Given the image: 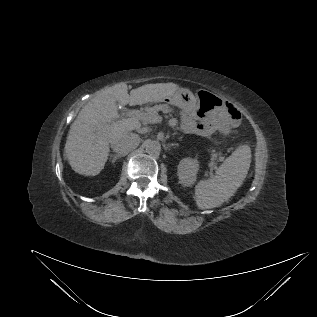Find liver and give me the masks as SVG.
<instances>
[{"mask_svg":"<svg viewBox=\"0 0 317 317\" xmlns=\"http://www.w3.org/2000/svg\"><path fill=\"white\" fill-rule=\"evenodd\" d=\"M178 90L174 83H156L132 89L128 94L127 85L119 83L101 91L70 126L64 154L71 168L82 175H98L108 159L110 145L140 127L133 118L118 119L116 102L131 106L159 102Z\"/></svg>","mask_w":317,"mask_h":317,"instance_id":"obj_1","label":"liver"}]
</instances>
